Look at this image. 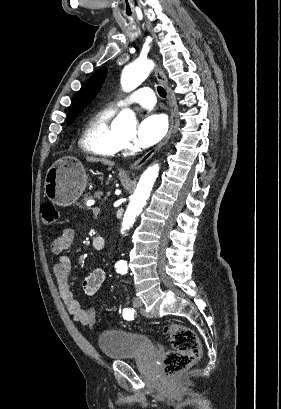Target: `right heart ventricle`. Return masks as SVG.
<instances>
[{"label":"right heart ventricle","instance_id":"obj_1","mask_svg":"<svg viewBox=\"0 0 281 409\" xmlns=\"http://www.w3.org/2000/svg\"><path fill=\"white\" fill-rule=\"evenodd\" d=\"M112 109H102L93 114L85 127L84 137L87 151L98 158H108L117 153L114 143L111 118Z\"/></svg>","mask_w":281,"mask_h":409}]
</instances>
